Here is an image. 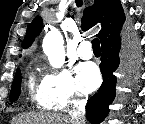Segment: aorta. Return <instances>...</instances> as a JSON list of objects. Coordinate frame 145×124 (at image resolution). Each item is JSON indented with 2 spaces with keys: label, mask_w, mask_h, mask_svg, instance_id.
Listing matches in <instances>:
<instances>
[{
  "label": "aorta",
  "mask_w": 145,
  "mask_h": 124,
  "mask_svg": "<svg viewBox=\"0 0 145 124\" xmlns=\"http://www.w3.org/2000/svg\"><path fill=\"white\" fill-rule=\"evenodd\" d=\"M64 40L61 32L53 28L43 39V51L54 68H60L65 61Z\"/></svg>",
  "instance_id": "aorta-1"
}]
</instances>
